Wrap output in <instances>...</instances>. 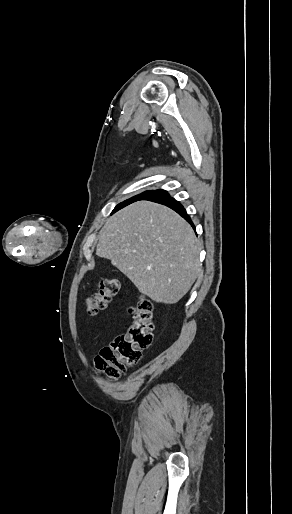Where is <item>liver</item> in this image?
Wrapping results in <instances>:
<instances>
[{
  "instance_id": "obj_1",
  "label": "liver",
  "mask_w": 292,
  "mask_h": 514,
  "mask_svg": "<svg viewBox=\"0 0 292 514\" xmlns=\"http://www.w3.org/2000/svg\"><path fill=\"white\" fill-rule=\"evenodd\" d=\"M200 244L176 212L135 202L107 220L96 256L108 258L141 294L154 302L176 304L202 272Z\"/></svg>"
}]
</instances>
